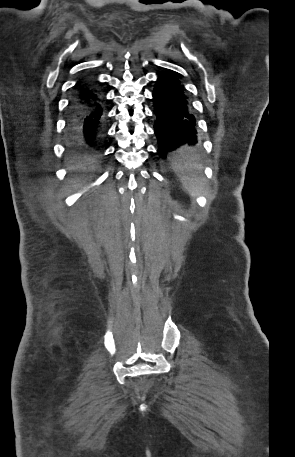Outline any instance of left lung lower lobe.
Segmentation results:
<instances>
[{"mask_svg": "<svg viewBox=\"0 0 295 457\" xmlns=\"http://www.w3.org/2000/svg\"><path fill=\"white\" fill-rule=\"evenodd\" d=\"M158 151L162 158L183 145L197 143L196 120L191 113L185 89L171 73L161 74L153 91Z\"/></svg>", "mask_w": 295, "mask_h": 457, "instance_id": "1", "label": "left lung lower lobe"}]
</instances>
